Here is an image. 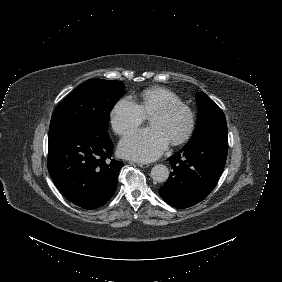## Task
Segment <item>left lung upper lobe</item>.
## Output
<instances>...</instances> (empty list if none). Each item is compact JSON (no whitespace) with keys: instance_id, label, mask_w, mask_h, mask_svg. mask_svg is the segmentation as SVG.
Here are the masks:
<instances>
[{"instance_id":"obj_1","label":"left lung upper lobe","mask_w":282,"mask_h":282,"mask_svg":"<svg viewBox=\"0 0 282 282\" xmlns=\"http://www.w3.org/2000/svg\"><path fill=\"white\" fill-rule=\"evenodd\" d=\"M196 101L199 109L197 124L192 138L207 129L227 125L222 110L205 93H198Z\"/></svg>"}]
</instances>
